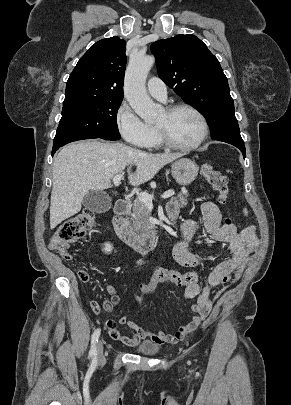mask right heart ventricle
<instances>
[{
	"instance_id": "1",
	"label": "right heart ventricle",
	"mask_w": 291,
	"mask_h": 405,
	"mask_svg": "<svg viewBox=\"0 0 291 405\" xmlns=\"http://www.w3.org/2000/svg\"><path fill=\"white\" fill-rule=\"evenodd\" d=\"M161 145H162V144H161V142H160V140H159V138H158L157 131L154 129V136H153V138H152L150 144L148 145V147H151V148H158V147H160Z\"/></svg>"
}]
</instances>
